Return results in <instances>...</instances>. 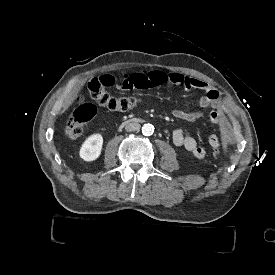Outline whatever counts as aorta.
Wrapping results in <instances>:
<instances>
[{"mask_svg": "<svg viewBox=\"0 0 275 275\" xmlns=\"http://www.w3.org/2000/svg\"><path fill=\"white\" fill-rule=\"evenodd\" d=\"M142 133L145 136H150L154 133V126L150 123L144 124L142 127Z\"/></svg>", "mask_w": 275, "mask_h": 275, "instance_id": "762f6f07", "label": "aorta"}]
</instances>
